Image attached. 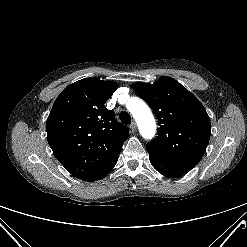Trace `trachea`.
Wrapping results in <instances>:
<instances>
[{"label": "trachea", "mask_w": 247, "mask_h": 247, "mask_svg": "<svg viewBox=\"0 0 247 247\" xmlns=\"http://www.w3.org/2000/svg\"><path fill=\"white\" fill-rule=\"evenodd\" d=\"M119 118L123 124H130L131 123V117L130 115L123 111L119 114Z\"/></svg>", "instance_id": "1"}]
</instances>
